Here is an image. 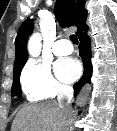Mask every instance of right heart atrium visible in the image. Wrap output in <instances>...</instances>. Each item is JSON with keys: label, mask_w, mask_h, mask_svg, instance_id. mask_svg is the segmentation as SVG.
I'll list each match as a JSON object with an SVG mask.
<instances>
[{"label": "right heart atrium", "mask_w": 117, "mask_h": 131, "mask_svg": "<svg viewBox=\"0 0 117 131\" xmlns=\"http://www.w3.org/2000/svg\"><path fill=\"white\" fill-rule=\"evenodd\" d=\"M22 89L31 101L54 98L69 91L70 87L54 77L46 63L30 61L21 74Z\"/></svg>", "instance_id": "d8ad5b80"}]
</instances>
